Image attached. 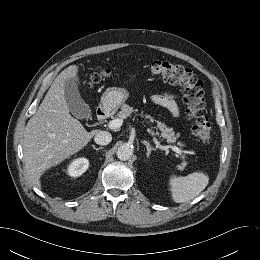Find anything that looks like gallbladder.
I'll return each mask as SVG.
<instances>
[{"label":"gallbladder","instance_id":"bac80fb5","mask_svg":"<svg viewBox=\"0 0 260 260\" xmlns=\"http://www.w3.org/2000/svg\"><path fill=\"white\" fill-rule=\"evenodd\" d=\"M64 92L69 110L76 118L84 119L91 117V109L81 98L78 86L73 79H68L65 82Z\"/></svg>","mask_w":260,"mask_h":260}]
</instances>
